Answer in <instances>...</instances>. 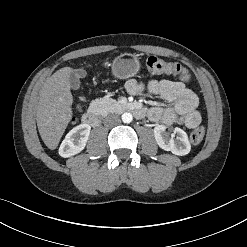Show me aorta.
I'll use <instances>...</instances> for the list:
<instances>
[{
    "instance_id": "aorta-1",
    "label": "aorta",
    "mask_w": 247,
    "mask_h": 247,
    "mask_svg": "<svg viewBox=\"0 0 247 247\" xmlns=\"http://www.w3.org/2000/svg\"><path fill=\"white\" fill-rule=\"evenodd\" d=\"M133 120L132 114L131 113H123L122 114V121L124 123H130Z\"/></svg>"
}]
</instances>
